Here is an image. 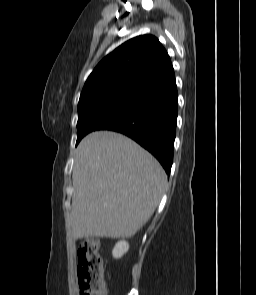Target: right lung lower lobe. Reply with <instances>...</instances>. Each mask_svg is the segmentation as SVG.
Wrapping results in <instances>:
<instances>
[{
	"label": "right lung lower lobe",
	"instance_id": "1",
	"mask_svg": "<svg viewBox=\"0 0 256 295\" xmlns=\"http://www.w3.org/2000/svg\"><path fill=\"white\" fill-rule=\"evenodd\" d=\"M178 92L174 69L136 93L132 101L98 130L127 135L151 152L170 174L176 137Z\"/></svg>",
	"mask_w": 256,
	"mask_h": 295
}]
</instances>
